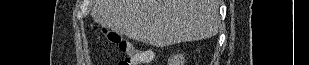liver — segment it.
I'll use <instances>...</instances> for the list:
<instances>
[{
  "label": "liver",
  "instance_id": "6515ba94",
  "mask_svg": "<svg viewBox=\"0 0 309 65\" xmlns=\"http://www.w3.org/2000/svg\"><path fill=\"white\" fill-rule=\"evenodd\" d=\"M93 20L119 35L157 47L218 33V0H91Z\"/></svg>",
  "mask_w": 309,
  "mask_h": 65
}]
</instances>
